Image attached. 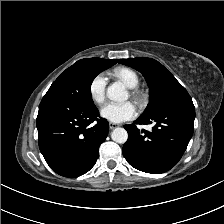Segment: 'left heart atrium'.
Listing matches in <instances>:
<instances>
[{
    "label": "left heart atrium",
    "instance_id": "1",
    "mask_svg": "<svg viewBox=\"0 0 224 224\" xmlns=\"http://www.w3.org/2000/svg\"><path fill=\"white\" fill-rule=\"evenodd\" d=\"M101 115L110 122L121 123L135 118L137 108L130 101L125 103L110 102L102 107Z\"/></svg>",
    "mask_w": 224,
    "mask_h": 224
}]
</instances>
